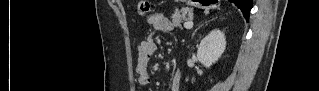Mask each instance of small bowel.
<instances>
[{
  "mask_svg": "<svg viewBox=\"0 0 319 91\" xmlns=\"http://www.w3.org/2000/svg\"><path fill=\"white\" fill-rule=\"evenodd\" d=\"M147 25L151 28L149 36L141 40L137 48V61L135 64V75L137 84L145 86L151 83L150 59L157 52V44L154 35L160 32H171L173 25L163 13H154L148 16ZM181 73L174 70L171 75V91H180Z\"/></svg>",
  "mask_w": 319,
  "mask_h": 91,
  "instance_id": "obj_1",
  "label": "small bowel"
}]
</instances>
